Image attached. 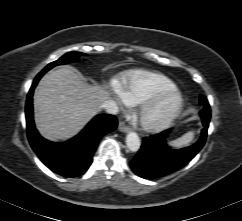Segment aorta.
I'll list each match as a JSON object with an SVG mask.
<instances>
[{"label": "aorta", "instance_id": "1", "mask_svg": "<svg viewBox=\"0 0 242 221\" xmlns=\"http://www.w3.org/2000/svg\"><path fill=\"white\" fill-rule=\"evenodd\" d=\"M126 145L132 152H137L140 148L141 141L135 132H129L126 136Z\"/></svg>", "mask_w": 242, "mask_h": 221}]
</instances>
